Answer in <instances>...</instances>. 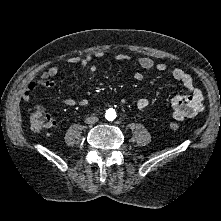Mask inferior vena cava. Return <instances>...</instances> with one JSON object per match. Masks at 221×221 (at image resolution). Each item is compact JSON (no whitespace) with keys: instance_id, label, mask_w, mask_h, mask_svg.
<instances>
[{"instance_id":"602c4592","label":"inferior vena cava","mask_w":221,"mask_h":221,"mask_svg":"<svg viewBox=\"0 0 221 221\" xmlns=\"http://www.w3.org/2000/svg\"><path fill=\"white\" fill-rule=\"evenodd\" d=\"M97 121H98V118L95 116H90L85 119V123H87V124H94Z\"/></svg>"}]
</instances>
